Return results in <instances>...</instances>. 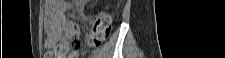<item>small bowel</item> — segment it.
I'll return each instance as SVG.
<instances>
[{"mask_svg": "<svg viewBox=\"0 0 225 58\" xmlns=\"http://www.w3.org/2000/svg\"><path fill=\"white\" fill-rule=\"evenodd\" d=\"M66 3L59 0H48L45 5V27L49 34L47 46L51 47L56 39L66 32V24L62 20Z\"/></svg>", "mask_w": 225, "mask_h": 58, "instance_id": "obj_1", "label": "small bowel"}]
</instances>
